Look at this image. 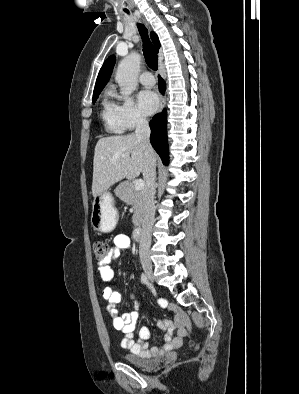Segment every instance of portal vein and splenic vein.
<instances>
[{
	"instance_id": "portal-vein-and-splenic-vein-1",
	"label": "portal vein and splenic vein",
	"mask_w": 299,
	"mask_h": 394,
	"mask_svg": "<svg viewBox=\"0 0 299 394\" xmlns=\"http://www.w3.org/2000/svg\"><path fill=\"white\" fill-rule=\"evenodd\" d=\"M144 188V181L142 179H137L134 184L135 191H141Z\"/></svg>"
}]
</instances>
